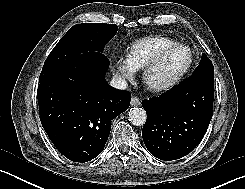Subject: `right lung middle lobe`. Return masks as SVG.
Listing matches in <instances>:
<instances>
[{
  "label": "right lung middle lobe",
  "mask_w": 245,
  "mask_h": 189,
  "mask_svg": "<svg viewBox=\"0 0 245 189\" xmlns=\"http://www.w3.org/2000/svg\"><path fill=\"white\" fill-rule=\"evenodd\" d=\"M117 29L114 24L102 23H82L71 27L47 57L39 82L53 78L83 55L101 53Z\"/></svg>",
  "instance_id": "right-lung-middle-lobe-1"
}]
</instances>
